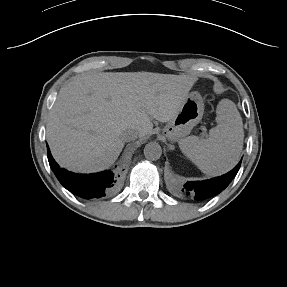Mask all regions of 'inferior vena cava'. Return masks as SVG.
<instances>
[{
  "instance_id": "obj_1",
  "label": "inferior vena cava",
  "mask_w": 287,
  "mask_h": 287,
  "mask_svg": "<svg viewBox=\"0 0 287 287\" xmlns=\"http://www.w3.org/2000/svg\"><path fill=\"white\" fill-rule=\"evenodd\" d=\"M140 136V133L136 130L128 129L122 133V140L124 142H130L137 139Z\"/></svg>"
}]
</instances>
